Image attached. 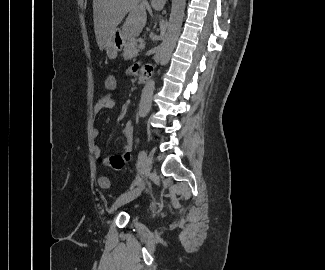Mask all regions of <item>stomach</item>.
<instances>
[{"instance_id": "1", "label": "stomach", "mask_w": 325, "mask_h": 270, "mask_svg": "<svg viewBox=\"0 0 325 270\" xmlns=\"http://www.w3.org/2000/svg\"><path fill=\"white\" fill-rule=\"evenodd\" d=\"M127 40L128 39L123 31L116 30L105 46L107 56L110 59L116 58L117 53L121 50Z\"/></svg>"}]
</instances>
